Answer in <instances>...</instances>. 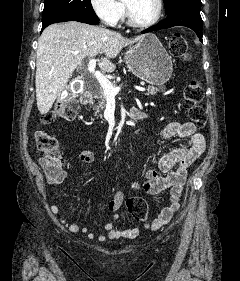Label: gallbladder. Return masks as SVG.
Here are the masks:
<instances>
[{
	"label": "gallbladder",
	"instance_id": "obj_1",
	"mask_svg": "<svg viewBox=\"0 0 240 281\" xmlns=\"http://www.w3.org/2000/svg\"><path fill=\"white\" fill-rule=\"evenodd\" d=\"M71 97V91H70V89H68L67 90V95H65L64 97H63V99H68V98H70Z\"/></svg>",
	"mask_w": 240,
	"mask_h": 281
}]
</instances>
